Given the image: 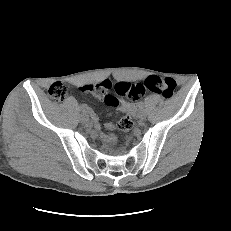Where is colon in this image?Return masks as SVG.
<instances>
[{
	"mask_svg": "<svg viewBox=\"0 0 231 231\" xmlns=\"http://www.w3.org/2000/svg\"><path fill=\"white\" fill-rule=\"evenodd\" d=\"M176 88V82L169 77H159L152 75L147 77L141 83H126L121 82L115 85L114 91L118 96H124L130 99H139L146 92H153L169 99L173 96ZM96 89L104 96L105 101L110 105H117L118 98L114 95L108 94L111 89V84L107 81L101 82L96 86ZM69 94V87L63 82H55L48 88V95L55 101H63ZM118 128L123 132H128L132 126L133 121L130 114H125L120 118L117 124Z\"/></svg>",
	"mask_w": 231,
	"mask_h": 231,
	"instance_id": "5ec220e1",
	"label": "colon"
}]
</instances>
